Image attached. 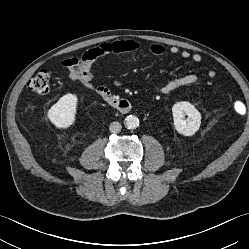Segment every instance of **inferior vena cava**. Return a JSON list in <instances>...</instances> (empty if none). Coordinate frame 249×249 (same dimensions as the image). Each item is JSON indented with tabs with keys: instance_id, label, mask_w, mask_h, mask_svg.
I'll list each match as a JSON object with an SVG mask.
<instances>
[{
	"instance_id": "602c4592",
	"label": "inferior vena cava",
	"mask_w": 249,
	"mask_h": 249,
	"mask_svg": "<svg viewBox=\"0 0 249 249\" xmlns=\"http://www.w3.org/2000/svg\"><path fill=\"white\" fill-rule=\"evenodd\" d=\"M121 129H122V126H121V124H120L119 122H117V121L112 122V123L110 124V126H109V130H110V132H112V133H119V132L121 131Z\"/></svg>"
}]
</instances>
